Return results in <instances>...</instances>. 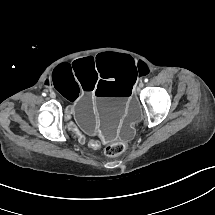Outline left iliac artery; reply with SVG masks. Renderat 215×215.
<instances>
[{
	"mask_svg": "<svg viewBox=\"0 0 215 215\" xmlns=\"http://www.w3.org/2000/svg\"><path fill=\"white\" fill-rule=\"evenodd\" d=\"M145 82H148V79L147 78H145V80H144Z\"/></svg>",
	"mask_w": 215,
	"mask_h": 215,
	"instance_id": "44dca946",
	"label": "left iliac artery"
}]
</instances>
